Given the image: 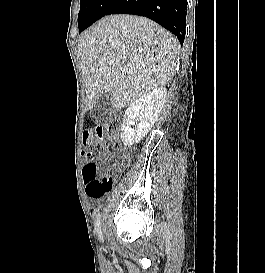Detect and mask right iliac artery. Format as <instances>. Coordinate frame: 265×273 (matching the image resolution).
I'll return each instance as SVG.
<instances>
[{"mask_svg":"<svg viewBox=\"0 0 265 273\" xmlns=\"http://www.w3.org/2000/svg\"><path fill=\"white\" fill-rule=\"evenodd\" d=\"M100 214H98L95 218V222H94V225H95V233L97 234L98 238L103 241V235H102V230H101V218H100Z\"/></svg>","mask_w":265,"mask_h":273,"instance_id":"obj_1","label":"right iliac artery"}]
</instances>
